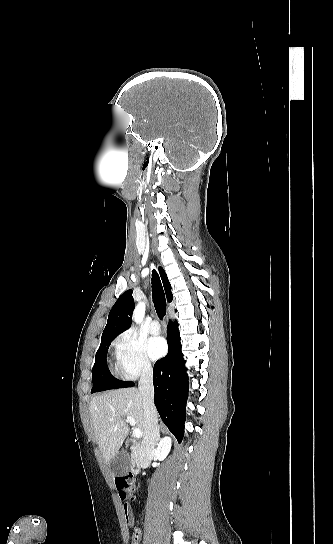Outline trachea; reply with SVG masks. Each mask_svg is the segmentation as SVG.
<instances>
[{
    "instance_id": "1",
    "label": "trachea",
    "mask_w": 333,
    "mask_h": 544,
    "mask_svg": "<svg viewBox=\"0 0 333 544\" xmlns=\"http://www.w3.org/2000/svg\"><path fill=\"white\" fill-rule=\"evenodd\" d=\"M152 297L156 313L162 319L166 315V299L160 278L155 270L152 274Z\"/></svg>"
}]
</instances>
